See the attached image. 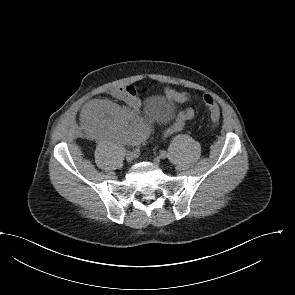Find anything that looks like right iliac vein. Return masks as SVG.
I'll list each match as a JSON object with an SVG mask.
<instances>
[{
	"instance_id": "63e3f726",
	"label": "right iliac vein",
	"mask_w": 295,
	"mask_h": 295,
	"mask_svg": "<svg viewBox=\"0 0 295 295\" xmlns=\"http://www.w3.org/2000/svg\"><path fill=\"white\" fill-rule=\"evenodd\" d=\"M134 158H135V155L133 154V152L128 151V152L126 153V160H127L128 162L133 161Z\"/></svg>"
}]
</instances>
